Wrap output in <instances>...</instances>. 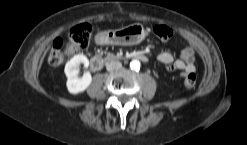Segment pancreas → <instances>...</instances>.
<instances>
[{"label": "pancreas", "mask_w": 247, "mask_h": 145, "mask_svg": "<svg viewBox=\"0 0 247 145\" xmlns=\"http://www.w3.org/2000/svg\"><path fill=\"white\" fill-rule=\"evenodd\" d=\"M110 58L116 59L117 56H114V55H112V54H109L108 57L106 58V60H109Z\"/></svg>", "instance_id": "obj_1"}]
</instances>
